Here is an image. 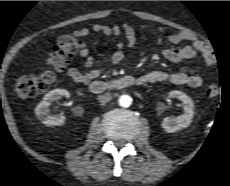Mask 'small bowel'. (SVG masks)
I'll use <instances>...</instances> for the list:
<instances>
[{"instance_id":"small-bowel-1","label":"small bowel","mask_w":230,"mask_h":186,"mask_svg":"<svg viewBox=\"0 0 230 186\" xmlns=\"http://www.w3.org/2000/svg\"><path fill=\"white\" fill-rule=\"evenodd\" d=\"M80 36H87L92 33H102L105 36H113L118 39L116 47L112 52L109 61L111 64H117L124 58V45L132 46L136 42V31L130 25L122 27L113 25L96 24L90 28H82L78 31ZM168 42L179 44L189 42V45L180 48L163 49L161 55L171 61L180 62L183 60L200 57L203 64L207 67H213L216 64L214 52L203 42L199 41L193 34L188 32H175L167 36ZM84 59L83 69L68 66L64 69L65 74L73 81L81 84H87L97 78L102 73V68L94 67V58L88 48H82L79 52ZM47 63L53 64L54 56L52 53L47 55ZM144 83L170 82L179 85H188L190 87H199L204 82V77L198 74H189L184 71L169 73L161 70H153L143 74Z\"/></svg>"}]
</instances>
